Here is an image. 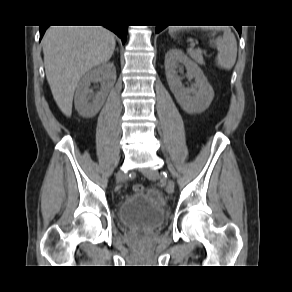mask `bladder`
<instances>
[{
	"label": "bladder",
	"instance_id": "31cf9c89",
	"mask_svg": "<svg viewBox=\"0 0 292 292\" xmlns=\"http://www.w3.org/2000/svg\"><path fill=\"white\" fill-rule=\"evenodd\" d=\"M118 217L127 227L153 229L164 222L166 208L156 191H142L128 195L121 201Z\"/></svg>",
	"mask_w": 292,
	"mask_h": 292
}]
</instances>
